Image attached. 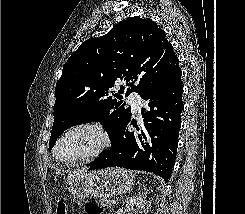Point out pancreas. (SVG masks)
Listing matches in <instances>:
<instances>
[{
  "instance_id": "cf45deb5",
  "label": "pancreas",
  "mask_w": 245,
  "mask_h": 214,
  "mask_svg": "<svg viewBox=\"0 0 245 214\" xmlns=\"http://www.w3.org/2000/svg\"><path fill=\"white\" fill-rule=\"evenodd\" d=\"M111 199L110 198H108V197H101L100 199H99V204L100 205H102V206H106V207H111L112 206V204H111Z\"/></svg>"
}]
</instances>
